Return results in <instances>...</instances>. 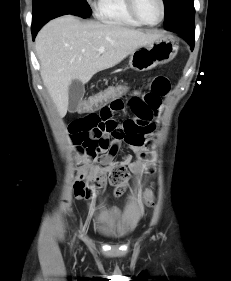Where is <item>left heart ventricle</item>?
I'll return each mask as SVG.
<instances>
[{
  "label": "left heart ventricle",
  "instance_id": "1",
  "mask_svg": "<svg viewBox=\"0 0 231 281\" xmlns=\"http://www.w3.org/2000/svg\"><path fill=\"white\" fill-rule=\"evenodd\" d=\"M136 3L138 12L145 21L156 23L160 19V0H136Z\"/></svg>",
  "mask_w": 231,
  "mask_h": 281
}]
</instances>
